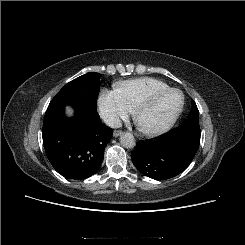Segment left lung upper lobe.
Returning <instances> with one entry per match:
<instances>
[{"label": "left lung upper lobe", "instance_id": "left-lung-upper-lobe-1", "mask_svg": "<svg viewBox=\"0 0 245 245\" xmlns=\"http://www.w3.org/2000/svg\"><path fill=\"white\" fill-rule=\"evenodd\" d=\"M177 129H183L201 135V130L199 126V111L196 103L193 100H192V109L189 118L185 123L177 127Z\"/></svg>", "mask_w": 245, "mask_h": 245}]
</instances>
